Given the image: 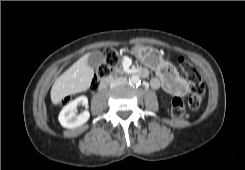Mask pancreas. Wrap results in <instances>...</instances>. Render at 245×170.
Segmentation results:
<instances>
[{"instance_id": "cf45deb5", "label": "pancreas", "mask_w": 245, "mask_h": 170, "mask_svg": "<svg viewBox=\"0 0 245 170\" xmlns=\"http://www.w3.org/2000/svg\"><path fill=\"white\" fill-rule=\"evenodd\" d=\"M124 72H123V69H122V67H118V66H116V67H114V70H113V72L109 75V78L110 79H113L115 76H117V75H121V74H123Z\"/></svg>"}]
</instances>
